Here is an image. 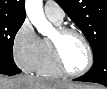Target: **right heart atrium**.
<instances>
[{"label": "right heart atrium", "mask_w": 107, "mask_h": 89, "mask_svg": "<svg viewBox=\"0 0 107 89\" xmlns=\"http://www.w3.org/2000/svg\"><path fill=\"white\" fill-rule=\"evenodd\" d=\"M41 52V38L25 20L14 35L12 53L16 64L25 72L35 70Z\"/></svg>", "instance_id": "1"}]
</instances>
